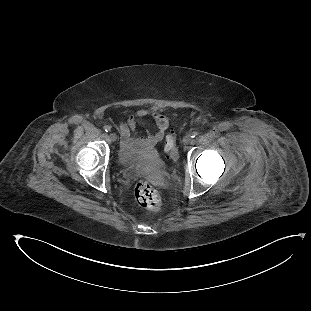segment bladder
Returning <instances> with one entry per match:
<instances>
[{
	"label": "bladder",
	"mask_w": 311,
	"mask_h": 311,
	"mask_svg": "<svg viewBox=\"0 0 311 311\" xmlns=\"http://www.w3.org/2000/svg\"><path fill=\"white\" fill-rule=\"evenodd\" d=\"M136 162L138 164V168L145 171L148 175L153 173L154 168L162 169L166 167L162 156L160 153L156 152V150L151 155L143 157Z\"/></svg>",
	"instance_id": "obj_1"
}]
</instances>
